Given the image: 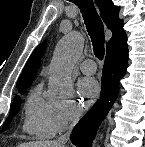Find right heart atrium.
Here are the masks:
<instances>
[{"mask_svg": "<svg viewBox=\"0 0 145 147\" xmlns=\"http://www.w3.org/2000/svg\"><path fill=\"white\" fill-rule=\"evenodd\" d=\"M82 110L76 103L57 108L53 118L54 132L61 133L72 126L81 116Z\"/></svg>", "mask_w": 145, "mask_h": 147, "instance_id": "1", "label": "right heart atrium"}]
</instances>
